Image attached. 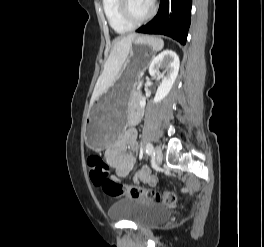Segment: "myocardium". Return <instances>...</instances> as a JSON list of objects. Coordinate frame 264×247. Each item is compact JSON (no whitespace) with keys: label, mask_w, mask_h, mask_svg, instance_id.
I'll return each instance as SVG.
<instances>
[{"label":"myocardium","mask_w":264,"mask_h":247,"mask_svg":"<svg viewBox=\"0 0 264 247\" xmlns=\"http://www.w3.org/2000/svg\"><path fill=\"white\" fill-rule=\"evenodd\" d=\"M129 0H119V13L121 15V17L130 25L132 26H137L140 25L146 21H148L155 13L156 7H155V3L153 0H151V5H150V9L147 12L146 15H144L141 18H135L131 11H130V7H129Z\"/></svg>","instance_id":"obj_1"}]
</instances>
